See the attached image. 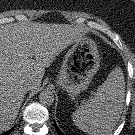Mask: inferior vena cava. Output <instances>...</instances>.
Returning a JSON list of instances; mask_svg holds the SVG:
<instances>
[{"label": "inferior vena cava", "instance_id": "602c4592", "mask_svg": "<svg viewBox=\"0 0 135 135\" xmlns=\"http://www.w3.org/2000/svg\"><path fill=\"white\" fill-rule=\"evenodd\" d=\"M32 89V86L30 85V84H28L26 87H25V90L26 91H29V90H31Z\"/></svg>", "mask_w": 135, "mask_h": 135}]
</instances>
